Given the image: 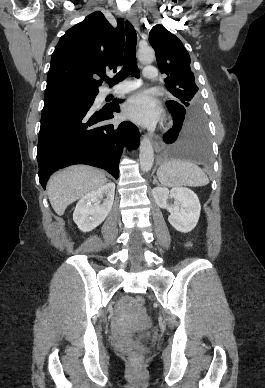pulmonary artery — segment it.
Masks as SVG:
<instances>
[{"label": "pulmonary artery", "instance_id": "pulmonary-artery-1", "mask_svg": "<svg viewBox=\"0 0 265 388\" xmlns=\"http://www.w3.org/2000/svg\"><path fill=\"white\" fill-rule=\"evenodd\" d=\"M156 68H157L156 64H147L146 71L144 73V78L152 80L153 76H156V74H157ZM118 79L120 80L121 78L119 77ZM123 79L125 82H130L132 78L130 75H125ZM124 81L122 83H116L114 85V88L116 90H119L118 94H123V93L127 92L128 90L131 94H134L136 92V89L134 87H131L130 85L128 87H126V85L124 84L125 83ZM133 83L139 84L140 82L134 81Z\"/></svg>", "mask_w": 265, "mask_h": 388}]
</instances>
